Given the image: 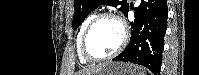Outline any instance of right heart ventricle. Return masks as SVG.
I'll list each match as a JSON object with an SVG mask.
<instances>
[{"instance_id":"e07e8e85","label":"right heart ventricle","mask_w":199,"mask_h":75,"mask_svg":"<svg viewBox=\"0 0 199 75\" xmlns=\"http://www.w3.org/2000/svg\"><path fill=\"white\" fill-rule=\"evenodd\" d=\"M95 16L94 13H91L89 14L82 22L81 24V27H80V30H79V33H78V36H77V52H78V57H79V60L81 63H84V64H88L89 61L85 60L81 53H80V41H81V37H82V34L86 28V26L89 24V22L91 21V19Z\"/></svg>"}]
</instances>
